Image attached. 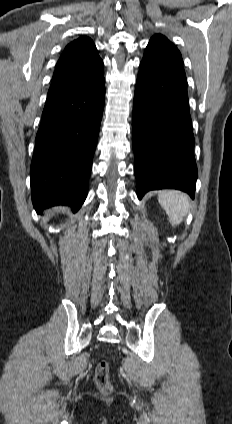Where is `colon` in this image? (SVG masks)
<instances>
[{
    "mask_svg": "<svg viewBox=\"0 0 232 424\" xmlns=\"http://www.w3.org/2000/svg\"><path fill=\"white\" fill-rule=\"evenodd\" d=\"M109 370V364L107 361H101L96 367L95 383L103 393H110L112 390Z\"/></svg>",
    "mask_w": 232,
    "mask_h": 424,
    "instance_id": "colon-1",
    "label": "colon"
}]
</instances>
